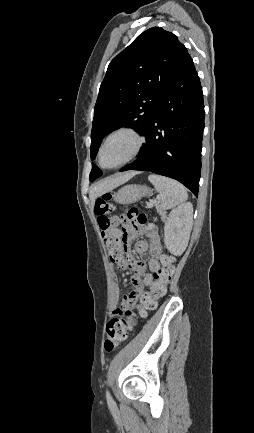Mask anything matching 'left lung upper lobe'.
Wrapping results in <instances>:
<instances>
[{"label":"left lung upper lobe","instance_id":"1","mask_svg":"<svg viewBox=\"0 0 254 433\" xmlns=\"http://www.w3.org/2000/svg\"><path fill=\"white\" fill-rule=\"evenodd\" d=\"M187 54L173 33L153 27L111 61L94 108L91 160L103 137L121 126L144 134ZM101 175L102 171L92 163L90 181Z\"/></svg>","mask_w":254,"mask_h":433}]
</instances>
